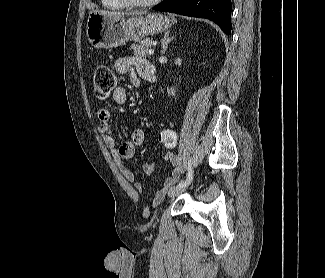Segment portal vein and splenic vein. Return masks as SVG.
<instances>
[{
	"instance_id": "portal-vein-and-splenic-vein-1",
	"label": "portal vein and splenic vein",
	"mask_w": 325,
	"mask_h": 278,
	"mask_svg": "<svg viewBox=\"0 0 325 278\" xmlns=\"http://www.w3.org/2000/svg\"><path fill=\"white\" fill-rule=\"evenodd\" d=\"M148 53H149V55H153L154 54V50L153 49H149Z\"/></svg>"
}]
</instances>
